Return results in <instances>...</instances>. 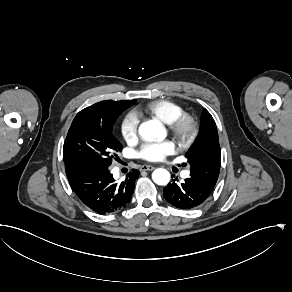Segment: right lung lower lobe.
<instances>
[{
    "instance_id": "right-lung-lower-lobe-1",
    "label": "right lung lower lobe",
    "mask_w": 292,
    "mask_h": 292,
    "mask_svg": "<svg viewBox=\"0 0 292 292\" xmlns=\"http://www.w3.org/2000/svg\"><path fill=\"white\" fill-rule=\"evenodd\" d=\"M68 181L78 198L98 214L115 213L130 202L139 171L132 169L121 183L108 168L85 163L65 164Z\"/></svg>"
}]
</instances>
